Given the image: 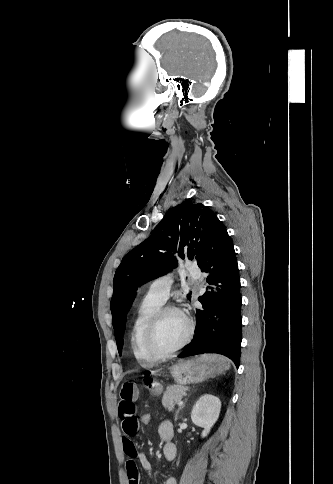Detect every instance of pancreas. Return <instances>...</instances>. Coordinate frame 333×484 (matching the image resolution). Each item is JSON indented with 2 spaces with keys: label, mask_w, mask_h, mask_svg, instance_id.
Instances as JSON below:
<instances>
[{
  "label": "pancreas",
  "mask_w": 333,
  "mask_h": 484,
  "mask_svg": "<svg viewBox=\"0 0 333 484\" xmlns=\"http://www.w3.org/2000/svg\"><path fill=\"white\" fill-rule=\"evenodd\" d=\"M187 387L181 385H170L162 398V404L165 408H172L176 403L186 395Z\"/></svg>",
  "instance_id": "1"
}]
</instances>
